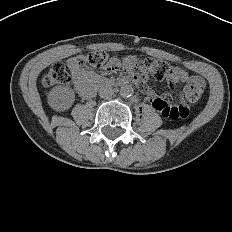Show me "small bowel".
Here are the masks:
<instances>
[{"mask_svg":"<svg viewBox=\"0 0 232 232\" xmlns=\"http://www.w3.org/2000/svg\"><path fill=\"white\" fill-rule=\"evenodd\" d=\"M78 57L72 58L68 61V66L72 72L74 89L82 95L83 90L94 79V73L85 69L84 66L77 61ZM127 71L137 82V86L147 95L149 101L153 107L162 112L163 107L167 105L163 102V106L156 105V101L160 100V97L151 92L147 87L149 86V79L146 77V73L142 71L138 62L130 57L123 60L122 65L115 68L114 73L117 77L122 78L126 75ZM168 81L171 84H177L182 82H188L190 85H194L204 89L205 81L202 77L197 75H189L186 70L181 67H175L172 73L169 75Z\"/></svg>","mask_w":232,"mask_h":232,"instance_id":"c3829d8e","label":"small bowel"}]
</instances>
